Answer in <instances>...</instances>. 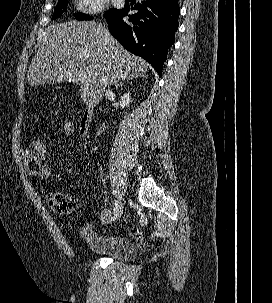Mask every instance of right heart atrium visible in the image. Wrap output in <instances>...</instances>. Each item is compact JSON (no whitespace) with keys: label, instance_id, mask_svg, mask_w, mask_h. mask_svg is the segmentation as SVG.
Instances as JSON below:
<instances>
[{"label":"right heart atrium","instance_id":"obj_1","mask_svg":"<svg viewBox=\"0 0 272 303\" xmlns=\"http://www.w3.org/2000/svg\"><path fill=\"white\" fill-rule=\"evenodd\" d=\"M108 0H78L79 9L87 14H97L104 10Z\"/></svg>","mask_w":272,"mask_h":303}]
</instances>
